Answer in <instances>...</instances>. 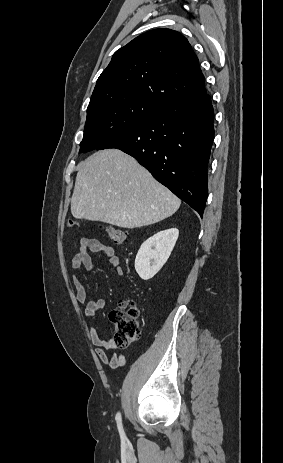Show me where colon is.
Here are the masks:
<instances>
[{
    "instance_id": "1",
    "label": "colon",
    "mask_w": 283,
    "mask_h": 463,
    "mask_svg": "<svg viewBox=\"0 0 283 463\" xmlns=\"http://www.w3.org/2000/svg\"><path fill=\"white\" fill-rule=\"evenodd\" d=\"M77 222L71 221L70 226ZM110 240L116 245H122L127 239L126 231L114 226L105 227ZM111 321L114 325V342L118 347H125L140 337L139 310L130 301H124L114 309L111 314Z\"/></svg>"
}]
</instances>
